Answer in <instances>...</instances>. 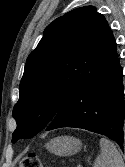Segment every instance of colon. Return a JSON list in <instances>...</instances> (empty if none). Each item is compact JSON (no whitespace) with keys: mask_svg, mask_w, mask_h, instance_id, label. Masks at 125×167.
<instances>
[{"mask_svg":"<svg viewBox=\"0 0 125 167\" xmlns=\"http://www.w3.org/2000/svg\"><path fill=\"white\" fill-rule=\"evenodd\" d=\"M20 167H43V164L37 155L28 153L21 159Z\"/></svg>","mask_w":125,"mask_h":167,"instance_id":"colon-1","label":"colon"}]
</instances>
